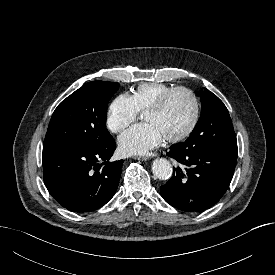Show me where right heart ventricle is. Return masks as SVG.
<instances>
[{"mask_svg": "<svg viewBox=\"0 0 275 275\" xmlns=\"http://www.w3.org/2000/svg\"><path fill=\"white\" fill-rule=\"evenodd\" d=\"M171 88V86L164 83H142L133 89L131 97L137 109L141 112H144L163 93Z\"/></svg>", "mask_w": 275, "mask_h": 275, "instance_id": "1", "label": "right heart ventricle"}]
</instances>
